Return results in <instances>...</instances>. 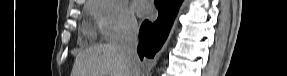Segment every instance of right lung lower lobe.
I'll return each mask as SVG.
<instances>
[{"label": "right lung lower lobe", "mask_w": 287, "mask_h": 76, "mask_svg": "<svg viewBox=\"0 0 287 76\" xmlns=\"http://www.w3.org/2000/svg\"><path fill=\"white\" fill-rule=\"evenodd\" d=\"M182 0H155L159 15L155 22L145 21L139 32L138 54L153 58L165 42Z\"/></svg>", "instance_id": "obj_1"}]
</instances>
